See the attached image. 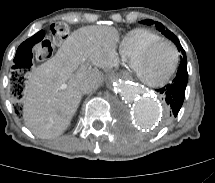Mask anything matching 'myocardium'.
<instances>
[{
  "label": "myocardium",
  "instance_id": "f54148a6",
  "mask_svg": "<svg viewBox=\"0 0 215 183\" xmlns=\"http://www.w3.org/2000/svg\"><path fill=\"white\" fill-rule=\"evenodd\" d=\"M160 43H167L173 48L174 54H175L174 64L172 66V69L162 79L157 81H149L145 79L144 76L142 75L140 70V64L145 59V57L151 52V50ZM179 61H180V53L176 45L168 39L161 38L152 42L151 44H149L147 47L144 48V50L133 61L131 65V69L135 74L137 80L143 85L149 88H160V87H163L165 84H167L176 74L179 66Z\"/></svg>",
  "mask_w": 215,
  "mask_h": 183
}]
</instances>
